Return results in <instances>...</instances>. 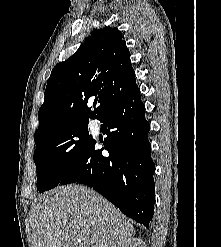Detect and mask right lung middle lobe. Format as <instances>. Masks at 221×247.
I'll return each mask as SVG.
<instances>
[{"label": "right lung middle lobe", "mask_w": 221, "mask_h": 247, "mask_svg": "<svg viewBox=\"0 0 221 247\" xmlns=\"http://www.w3.org/2000/svg\"><path fill=\"white\" fill-rule=\"evenodd\" d=\"M91 139L88 121L66 123L35 137L37 190L44 192L59 185Z\"/></svg>", "instance_id": "1"}]
</instances>
